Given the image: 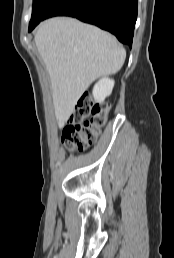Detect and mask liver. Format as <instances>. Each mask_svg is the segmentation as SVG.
Returning <instances> with one entry per match:
<instances>
[{
  "mask_svg": "<svg viewBox=\"0 0 174 258\" xmlns=\"http://www.w3.org/2000/svg\"><path fill=\"white\" fill-rule=\"evenodd\" d=\"M35 43L50 76L59 124L66 122L90 84L117 73L126 57L114 36L67 17L42 22Z\"/></svg>",
  "mask_w": 174,
  "mask_h": 258,
  "instance_id": "liver-1",
  "label": "liver"
}]
</instances>
